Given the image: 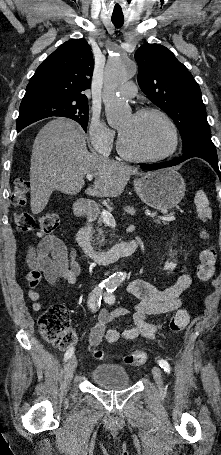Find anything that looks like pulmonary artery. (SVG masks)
Returning <instances> with one entry per match:
<instances>
[{
  "instance_id": "e3ab8cb5",
  "label": "pulmonary artery",
  "mask_w": 221,
  "mask_h": 455,
  "mask_svg": "<svg viewBox=\"0 0 221 455\" xmlns=\"http://www.w3.org/2000/svg\"><path fill=\"white\" fill-rule=\"evenodd\" d=\"M118 92L124 98H132L137 94V86L134 82L128 81L119 87Z\"/></svg>"
}]
</instances>
